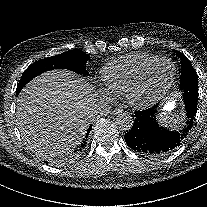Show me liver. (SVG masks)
Masks as SVG:
<instances>
[{
	"label": "liver",
	"mask_w": 207,
	"mask_h": 207,
	"mask_svg": "<svg viewBox=\"0 0 207 207\" xmlns=\"http://www.w3.org/2000/svg\"><path fill=\"white\" fill-rule=\"evenodd\" d=\"M91 86L67 70L34 78L17 99L19 131L27 147L54 156L77 147L95 116Z\"/></svg>",
	"instance_id": "liver-1"
}]
</instances>
